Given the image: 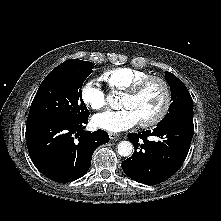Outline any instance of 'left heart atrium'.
<instances>
[{"label":"left heart atrium","mask_w":221,"mask_h":221,"mask_svg":"<svg viewBox=\"0 0 221 221\" xmlns=\"http://www.w3.org/2000/svg\"><path fill=\"white\" fill-rule=\"evenodd\" d=\"M92 121L96 127L110 132H120L139 123L136 114L128 108L97 114Z\"/></svg>","instance_id":"39dd6f15"}]
</instances>
